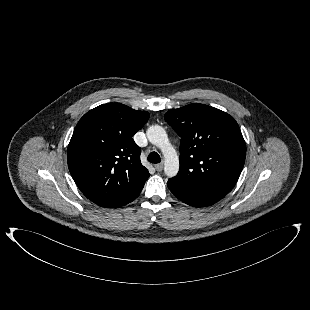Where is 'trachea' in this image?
<instances>
[{"mask_svg": "<svg viewBox=\"0 0 310 310\" xmlns=\"http://www.w3.org/2000/svg\"><path fill=\"white\" fill-rule=\"evenodd\" d=\"M147 159L149 162L154 164L161 162V158L157 152H151Z\"/></svg>", "mask_w": 310, "mask_h": 310, "instance_id": "trachea-1", "label": "trachea"}]
</instances>
